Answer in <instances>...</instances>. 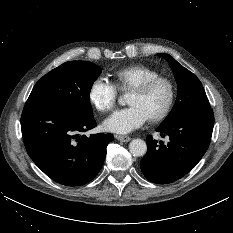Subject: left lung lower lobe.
<instances>
[{"mask_svg": "<svg viewBox=\"0 0 233 233\" xmlns=\"http://www.w3.org/2000/svg\"><path fill=\"white\" fill-rule=\"evenodd\" d=\"M214 114L210 110L194 111L173 123L160 125L156 131L169 136L160 144L147 137L148 151L140 162L144 176L156 184L172 183L187 174L203 157L210 144Z\"/></svg>", "mask_w": 233, "mask_h": 233, "instance_id": "obj_1", "label": "left lung lower lobe"}]
</instances>
